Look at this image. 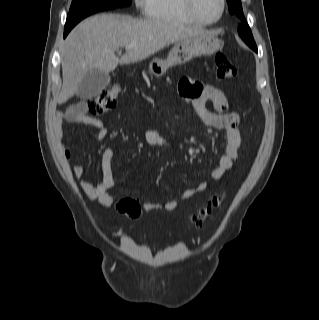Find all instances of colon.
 Returning <instances> with one entry per match:
<instances>
[{"instance_id": "obj_1", "label": "colon", "mask_w": 319, "mask_h": 320, "mask_svg": "<svg viewBox=\"0 0 319 320\" xmlns=\"http://www.w3.org/2000/svg\"><path fill=\"white\" fill-rule=\"evenodd\" d=\"M215 62L216 75L219 79L229 80L236 77V68L225 53L218 52L215 56ZM118 94L119 87L116 85L102 91L90 101L89 110L93 114H102L109 111L115 106ZM223 202L224 196L222 194H214L210 197L209 201L193 215L192 222L196 226H202L205 220L211 217V215L222 206ZM116 207L119 212L132 218L138 217L141 213L140 204L132 198L121 199Z\"/></svg>"}]
</instances>
